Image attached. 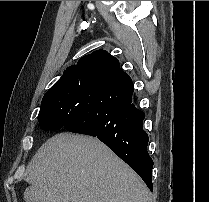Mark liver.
<instances>
[{"label": "liver", "instance_id": "6515ba94", "mask_svg": "<svg viewBox=\"0 0 209 202\" xmlns=\"http://www.w3.org/2000/svg\"><path fill=\"white\" fill-rule=\"evenodd\" d=\"M26 175V202H150L137 174L102 142L84 135L48 139Z\"/></svg>", "mask_w": 209, "mask_h": 202}]
</instances>
